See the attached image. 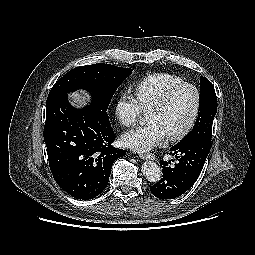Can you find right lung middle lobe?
<instances>
[{
    "label": "right lung middle lobe",
    "instance_id": "1",
    "mask_svg": "<svg viewBox=\"0 0 255 255\" xmlns=\"http://www.w3.org/2000/svg\"><path fill=\"white\" fill-rule=\"evenodd\" d=\"M132 73L130 68L110 64H92L76 67L60 78L49 92L46 104L59 95H67L77 89L91 94L88 105L104 122H109L107 109L118 86Z\"/></svg>",
    "mask_w": 255,
    "mask_h": 255
}]
</instances>
